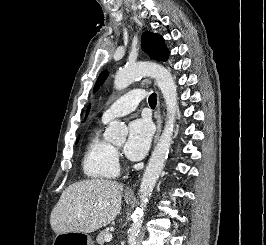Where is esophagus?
<instances>
[{
    "label": "esophagus",
    "instance_id": "obj_1",
    "mask_svg": "<svg viewBox=\"0 0 266 245\" xmlns=\"http://www.w3.org/2000/svg\"><path fill=\"white\" fill-rule=\"evenodd\" d=\"M157 109H156V112H155V118H156V121H157V131H156V134H155V137H154V143H156L160 137V134H161V130H162V118H161V111H160V100H159V95L157 94ZM134 186L135 185H132L131 187H129L127 190H126V195H134Z\"/></svg>",
    "mask_w": 266,
    "mask_h": 245
}]
</instances>
